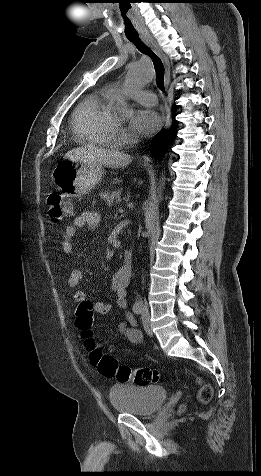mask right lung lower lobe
<instances>
[{"mask_svg": "<svg viewBox=\"0 0 261 476\" xmlns=\"http://www.w3.org/2000/svg\"><path fill=\"white\" fill-rule=\"evenodd\" d=\"M175 112V111H174ZM175 134V129H171L167 132L160 133L154 139V143L151 146L153 154L155 157L160 158V156L165 152V150L170 146L173 141Z\"/></svg>", "mask_w": 261, "mask_h": 476, "instance_id": "1", "label": "right lung lower lobe"}]
</instances>
